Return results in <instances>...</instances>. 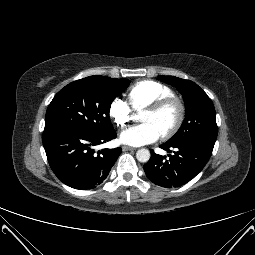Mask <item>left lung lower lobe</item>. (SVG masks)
Returning a JSON list of instances; mask_svg holds the SVG:
<instances>
[{"label": "left lung lower lobe", "mask_w": 255, "mask_h": 255, "mask_svg": "<svg viewBox=\"0 0 255 255\" xmlns=\"http://www.w3.org/2000/svg\"><path fill=\"white\" fill-rule=\"evenodd\" d=\"M160 148L174 155L161 156L151 150V158L144 165L146 176L161 187H179L193 179L206 165L211 157L213 147L192 143L171 145L164 143Z\"/></svg>", "instance_id": "0a47b994"}]
</instances>
